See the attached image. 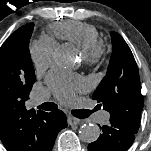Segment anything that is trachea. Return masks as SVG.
Instances as JSON below:
<instances>
[{"instance_id": "1", "label": "trachea", "mask_w": 151, "mask_h": 151, "mask_svg": "<svg viewBox=\"0 0 151 151\" xmlns=\"http://www.w3.org/2000/svg\"><path fill=\"white\" fill-rule=\"evenodd\" d=\"M38 109H43L46 111H53V110L57 109V105L53 102H46V103H43L42 105L38 106ZM91 113H92V111H89V110L79 111L75 114V116L78 118H86Z\"/></svg>"}]
</instances>
